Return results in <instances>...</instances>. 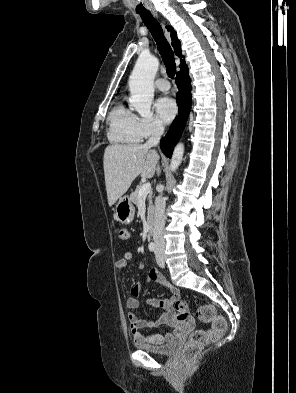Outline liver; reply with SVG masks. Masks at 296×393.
<instances>
[{"instance_id": "liver-1", "label": "liver", "mask_w": 296, "mask_h": 393, "mask_svg": "<svg viewBox=\"0 0 296 393\" xmlns=\"http://www.w3.org/2000/svg\"><path fill=\"white\" fill-rule=\"evenodd\" d=\"M159 155L146 144H114L106 147L103 158L109 206L127 192L136 177H153Z\"/></svg>"}]
</instances>
